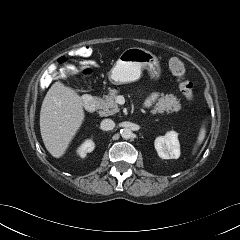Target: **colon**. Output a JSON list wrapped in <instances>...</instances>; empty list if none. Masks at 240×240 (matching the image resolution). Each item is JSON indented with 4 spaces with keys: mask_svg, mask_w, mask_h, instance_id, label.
Segmentation results:
<instances>
[{
    "mask_svg": "<svg viewBox=\"0 0 240 240\" xmlns=\"http://www.w3.org/2000/svg\"><path fill=\"white\" fill-rule=\"evenodd\" d=\"M91 53L90 47L83 46L73 50L70 55L61 56L55 63L58 68H65L75 64L82 74L89 75L94 66V62L88 59ZM169 69L172 75L177 79L182 94L187 101L191 102L194 98L193 84L186 79V68L184 63L178 58H172L169 61Z\"/></svg>",
    "mask_w": 240,
    "mask_h": 240,
    "instance_id": "obj_1",
    "label": "colon"
}]
</instances>
